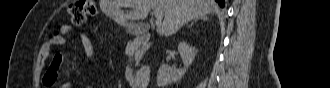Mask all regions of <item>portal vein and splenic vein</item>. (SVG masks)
<instances>
[{"instance_id":"1","label":"portal vein and splenic vein","mask_w":330,"mask_h":88,"mask_svg":"<svg viewBox=\"0 0 330 88\" xmlns=\"http://www.w3.org/2000/svg\"><path fill=\"white\" fill-rule=\"evenodd\" d=\"M153 13H154V16H155V18H156V24L157 25H159V24H161V22H162V18H163V12L162 11H160L159 9H155L154 11H153Z\"/></svg>"}]
</instances>
